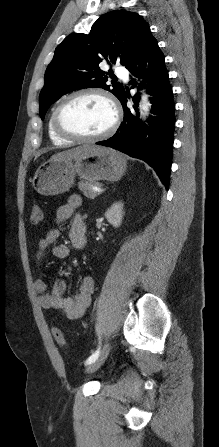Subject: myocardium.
Listing matches in <instances>:
<instances>
[{
    "mask_svg": "<svg viewBox=\"0 0 219 447\" xmlns=\"http://www.w3.org/2000/svg\"><path fill=\"white\" fill-rule=\"evenodd\" d=\"M84 95H96L101 98H103L111 107L113 112V119L109 127L96 135H82L79 133L72 132L68 129H66L62 123H61V113L64 107L74 100L75 98L84 96ZM121 118V112L119 105L115 101V99L112 97V95L102 89L98 88H84L77 90L68 96H66L55 108L52 116V122H53V128L56 131V133L63 138H66L68 140L72 141H78V142H94L99 141L102 139H106L110 137L118 128Z\"/></svg>",
    "mask_w": 219,
    "mask_h": 447,
    "instance_id": "obj_1",
    "label": "myocardium"
}]
</instances>
